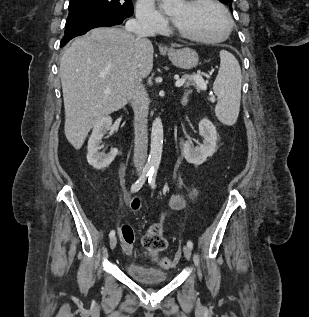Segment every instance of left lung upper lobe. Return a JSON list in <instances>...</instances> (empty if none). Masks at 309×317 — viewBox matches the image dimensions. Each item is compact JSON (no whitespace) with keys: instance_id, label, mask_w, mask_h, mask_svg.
Masks as SVG:
<instances>
[{"instance_id":"1","label":"left lung upper lobe","mask_w":309,"mask_h":317,"mask_svg":"<svg viewBox=\"0 0 309 317\" xmlns=\"http://www.w3.org/2000/svg\"><path fill=\"white\" fill-rule=\"evenodd\" d=\"M221 2H223L224 4H229L230 5V9L232 10V0H220Z\"/></svg>"}]
</instances>
